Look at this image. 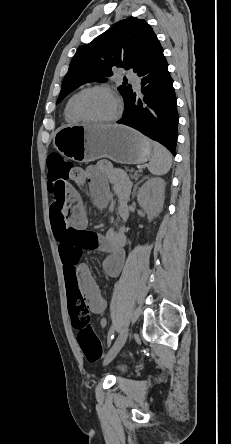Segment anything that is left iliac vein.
I'll list each match as a JSON object with an SVG mask.
<instances>
[{"label": "left iliac vein", "mask_w": 231, "mask_h": 444, "mask_svg": "<svg viewBox=\"0 0 231 444\" xmlns=\"http://www.w3.org/2000/svg\"><path fill=\"white\" fill-rule=\"evenodd\" d=\"M128 333H129L128 327H124L122 329V331L120 332V334L118 335L113 346L106 353L105 358H104V364H108L119 353V351L123 347L124 343L126 342V339L128 337Z\"/></svg>", "instance_id": "1"}]
</instances>
